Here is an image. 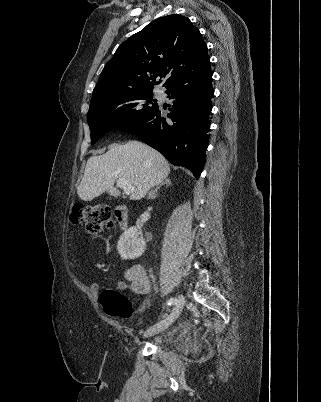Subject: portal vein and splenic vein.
<instances>
[{"mask_svg": "<svg viewBox=\"0 0 321 402\" xmlns=\"http://www.w3.org/2000/svg\"><path fill=\"white\" fill-rule=\"evenodd\" d=\"M116 184L119 188L124 190V193L129 195L134 192L135 188L132 186L129 180L120 178L116 181Z\"/></svg>", "mask_w": 321, "mask_h": 402, "instance_id": "obj_1", "label": "portal vein and splenic vein"}]
</instances>
